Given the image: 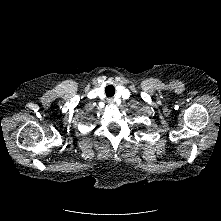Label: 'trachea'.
Segmentation results:
<instances>
[{"instance_id":"3493384b","label":"trachea","mask_w":221,"mask_h":221,"mask_svg":"<svg viewBox=\"0 0 221 221\" xmlns=\"http://www.w3.org/2000/svg\"><path fill=\"white\" fill-rule=\"evenodd\" d=\"M105 93H106V96L108 97H112L114 96L115 94V88L113 85H108L106 88H105Z\"/></svg>"}]
</instances>
